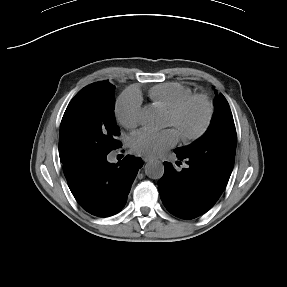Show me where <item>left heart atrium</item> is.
Returning <instances> with one entry per match:
<instances>
[{
    "instance_id": "39dd6f15",
    "label": "left heart atrium",
    "mask_w": 287,
    "mask_h": 287,
    "mask_svg": "<svg viewBox=\"0 0 287 287\" xmlns=\"http://www.w3.org/2000/svg\"><path fill=\"white\" fill-rule=\"evenodd\" d=\"M178 138V133L174 129L160 132L140 131L132 137L131 147L135 153L152 158L173 147Z\"/></svg>"
}]
</instances>
